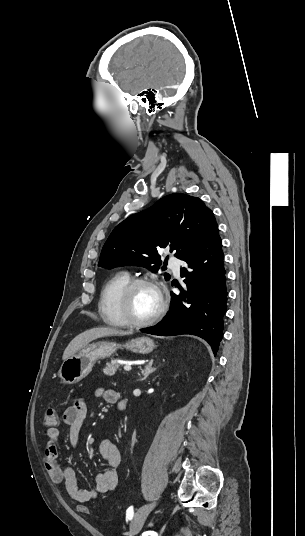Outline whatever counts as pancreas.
<instances>
[{
	"mask_svg": "<svg viewBox=\"0 0 305 536\" xmlns=\"http://www.w3.org/2000/svg\"><path fill=\"white\" fill-rule=\"evenodd\" d=\"M119 366H121V364H117L116 360H112V362H107L106 368H103L102 372L105 376H114Z\"/></svg>",
	"mask_w": 305,
	"mask_h": 536,
	"instance_id": "cf45deb5",
	"label": "pancreas"
}]
</instances>
